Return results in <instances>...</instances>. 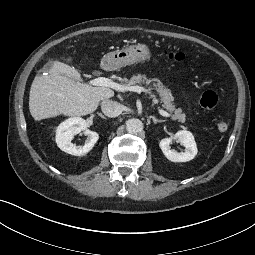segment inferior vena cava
<instances>
[{"label": "inferior vena cava", "mask_w": 255, "mask_h": 255, "mask_svg": "<svg viewBox=\"0 0 255 255\" xmlns=\"http://www.w3.org/2000/svg\"><path fill=\"white\" fill-rule=\"evenodd\" d=\"M102 112L108 117H117L122 109L119 103L112 100H103L101 103Z\"/></svg>", "instance_id": "1"}]
</instances>
